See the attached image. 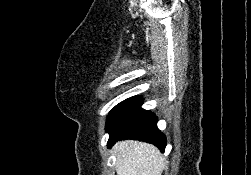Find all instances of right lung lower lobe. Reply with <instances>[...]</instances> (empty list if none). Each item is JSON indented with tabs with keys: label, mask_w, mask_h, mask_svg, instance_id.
<instances>
[{
	"label": "right lung lower lobe",
	"mask_w": 251,
	"mask_h": 175,
	"mask_svg": "<svg viewBox=\"0 0 251 175\" xmlns=\"http://www.w3.org/2000/svg\"><path fill=\"white\" fill-rule=\"evenodd\" d=\"M139 96L128 98L112 110L106 122L109 133L108 147L122 139L141 140L157 146L164 152L166 137L157 128V117L149 110L141 108Z\"/></svg>",
	"instance_id": "obj_1"
}]
</instances>
